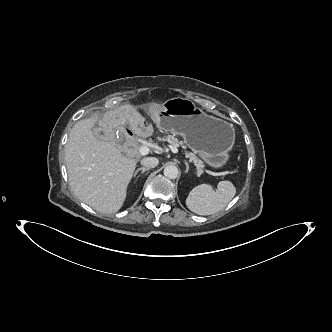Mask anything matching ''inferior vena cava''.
<instances>
[{
	"mask_svg": "<svg viewBox=\"0 0 332 332\" xmlns=\"http://www.w3.org/2000/svg\"><path fill=\"white\" fill-rule=\"evenodd\" d=\"M159 160L156 157H147L141 160V164L148 168H154L158 165Z\"/></svg>",
	"mask_w": 332,
	"mask_h": 332,
	"instance_id": "obj_1",
	"label": "inferior vena cava"
}]
</instances>
